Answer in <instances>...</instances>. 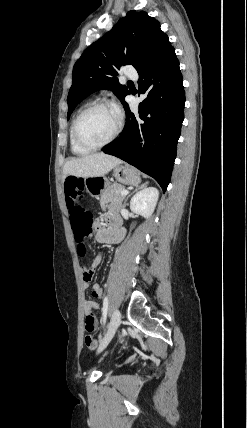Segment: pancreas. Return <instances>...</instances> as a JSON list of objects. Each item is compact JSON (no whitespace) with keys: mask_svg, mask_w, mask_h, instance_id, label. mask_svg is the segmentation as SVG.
Here are the masks:
<instances>
[{"mask_svg":"<svg viewBox=\"0 0 247 428\" xmlns=\"http://www.w3.org/2000/svg\"><path fill=\"white\" fill-rule=\"evenodd\" d=\"M125 187L123 185L114 183L108 185L100 198L101 208H104L106 204H119L124 199V195H121V191L124 190Z\"/></svg>","mask_w":247,"mask_h":428,"instance_id":"obj_1","label":"pancreas"}]
</instances>
